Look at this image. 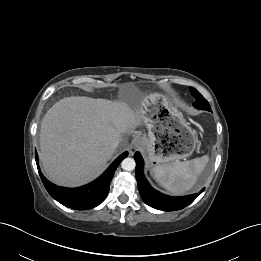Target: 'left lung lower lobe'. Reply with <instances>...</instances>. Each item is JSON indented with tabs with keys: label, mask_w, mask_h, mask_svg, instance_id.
Returning <instances> with one entry per match:
<instances>
[{
	"label": "left lung lower lobe",
	"mask_w": 261,
	"mask_h": 261,
	"mask_svg": "<svg viewBox=\"0 0 261 261\" xmlns=\"http://www.w3.org/2000/svg\"><path fill=\"white\" fill-rule=\"evenodd\" d=\"M134 159L136 161L135 173L140 195L144 202L153 208L163 211L180 210L191 204L204 190L203 189L199 193L183 197H170L162 194L153 189L145 179L143 174L144 161L139 152L134 154Z\"/></svg>",
	"instance_id": "1"
}]
</instances>
